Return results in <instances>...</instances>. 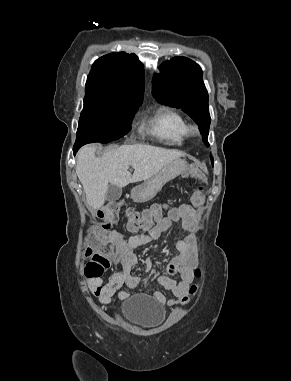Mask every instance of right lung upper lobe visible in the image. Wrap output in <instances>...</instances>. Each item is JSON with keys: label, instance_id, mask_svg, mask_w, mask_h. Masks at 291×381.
<instances>
[{"label": "right lung upper lobe", "instance_id": "right-lung-upper-lobe-1", "mask_svg": "<svg viewBox=\"0 0 291 381\" xmlns=\"http://www.w3.org/2000/svg\"><path fill=\"white\" fill-rule=\"evenodd\" d=\"M144 71L135 54L110 53L92 65L86 82V94L113 100L142 103Z\"/></svg>", "mask_w": 291, "mask_h": 381}]
</instances>
